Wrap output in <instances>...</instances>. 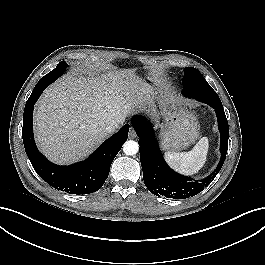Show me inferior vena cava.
<instances>
[{
    "instance_id": "obj_1",
    "label": "inferior vena cava",
    "mask_w": 265,
    "mask_h": 265,
    "mask_svg": "<svg viewBox=\"0 0 265 265\" xmlns=\"http://www.w3.org/2000/svg\"><path fill=\"white\" fill-rule=\"evenodd\" d=\"M117 128H118L117 124H115L114 122H112V123H109V124L106 125L105 131L110 134V133L115 132V130Z\"/></svg>"
}]
</instances>
